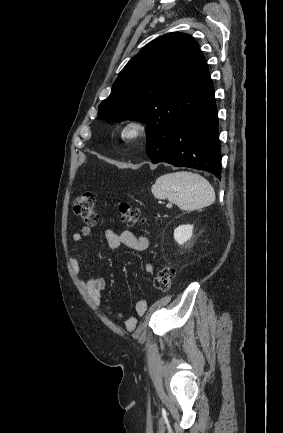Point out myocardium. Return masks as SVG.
<instances>
[{"label":"myocardium","instance_id":"1","mask_svg":"<svg viewBox=\"0 0 283 433\" xmlns=\"http://www.w3.org/2000/svg\"><path fill=\"white\" fill-rule=\"evenodd\" d=\"M148 131L147 124L138 119L126 121L119 131L121 141L125 143H135L145 137Z\"/></svg>","mask_w":283,"mask_h":433}]
</instances>
